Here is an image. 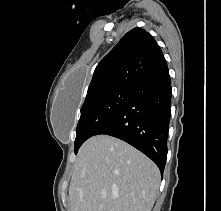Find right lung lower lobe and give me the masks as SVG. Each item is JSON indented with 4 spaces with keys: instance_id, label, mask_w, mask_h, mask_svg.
<instances>
[{
    "instance_id": "obj_1",
    "label": "right lung lower lobe",
    "mask_w": 221,
    "mask_h": 211,
    "mask_svg": "<svg viewBox=\"0 0 221 211\" xmlns=\"http://www.w3.org/2000/svg\"><path fill=\"white\" fill-rule=\"evenodd\" d=\"M171 96L169 72L141 82L95 135L106 134L129 143L147 155L162 173L168 151Z\"/></svg>"
}]
</instances>
